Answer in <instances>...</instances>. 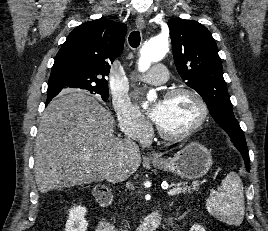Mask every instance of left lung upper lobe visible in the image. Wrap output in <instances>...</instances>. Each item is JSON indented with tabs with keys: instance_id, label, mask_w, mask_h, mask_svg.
<instances>
[{
	"instance_id": "1",
	"label": "left lung upper lobe",
	"mask_w": 268,
	"mask_h": 231,
	"mask_svg": "<svg viewBox=\"0 0 268 231\" xmlns=\"http://www.w3.org/2000/svg\"><path fill=\"white\" fill-rule=\"evenodd\" d=\"M176 69L186 85L206 102L216 123L224 129L238 150H247L246 140L223 78V68L212 34L194 20L168 21Z\"/></svg>"
}]
</instances>
